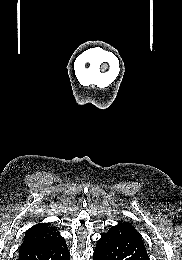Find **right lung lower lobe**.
Here are the masks:
<instances>
[{"label":"right lung lower lobe","instance_id":"1","mask_svg":"<svg viewBox=\"0 0 182 260\" xmlns=\"http://www.w3.org/2000/svg\"><path fill=\"white\" fill-rule=\"evenodd\" d=\"M70 253L65 240L19 252L18 260H69Z\"/></svg>","mask_w":182,"mask_h":260}]
</instances>
